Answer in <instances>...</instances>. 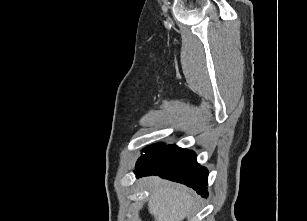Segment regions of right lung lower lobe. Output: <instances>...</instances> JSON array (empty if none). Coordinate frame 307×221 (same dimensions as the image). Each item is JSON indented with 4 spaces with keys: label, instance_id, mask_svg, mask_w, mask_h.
I'll use <instances>...</instances> for the list:
<instances>
[{
    "label": "right lung lower lobe",
    "instance_id": "98d812e1",
    "mask_svg": "<svg viewBox=\"0 0 307 221\" xmlns=\"http://www.w3.org/2000/svg\"><path fill=\"white\" fill-rule=\"evenodd\" d=\"M137 177L158 175L192 187L207 197L208 171L199 166L196 155L175 145H161L145 151L136 163Z\"/></svg>",
    "mask_w": 307,
    "mask_h": 221
}]
</instances>
